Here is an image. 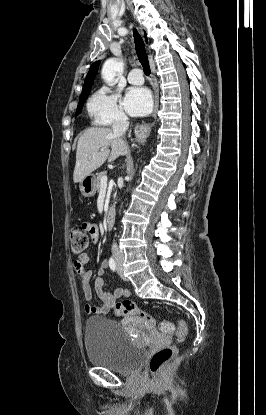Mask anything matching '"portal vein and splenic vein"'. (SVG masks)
Listing matches in <instances>:
<instances>
[{"mask_svg": "<svg viewBox=\"0 0 266 415\" xmlns=\"http://www.w3.org/2000/svg\"><path fill=\"white\" fill-rule=\"evenodd\" d=\"M107 181H108V178L106 175L101 178V188H104V189L107 188Z\"/></svg>", "mask_w": 266, "mask_h": 415, "instance_id": "obj_1", "label": "portal vein and splenic vein"}]
</instances>
